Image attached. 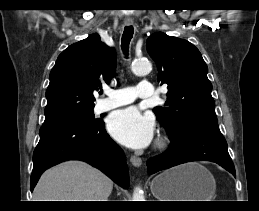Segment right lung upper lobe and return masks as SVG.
Segmentation results:
<instances>
[{
  "label": "right lung upper lobe",
  "mask_w": 259,
  "mask_h": 211,
  "mask_svg": "<svg viewBox=\"0 0 259 211\" xmlns=\"http://www.w3.org/2000/svg\"><path fill=\"white\" fill-rule=\"evenodd\" d=\"M116 63L114 48L101 42L97 34L64 50L49 75L44 124L93 110V92L109 83Z\"/></svg>",
  "instance_id": "obj_1"
}]
</instances>
